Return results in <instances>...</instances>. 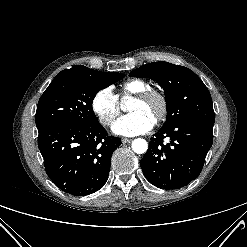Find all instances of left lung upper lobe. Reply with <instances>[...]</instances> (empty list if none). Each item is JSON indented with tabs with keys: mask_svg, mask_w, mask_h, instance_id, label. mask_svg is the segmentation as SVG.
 <instances>
[{
	"mask_svg": "<svg viewBox=\"0 0 247 247\" xmlns=\"http://www.w3.org/2000/svg\"><path fill=\"white\" fill-rule=\"evenodd\" d=\"M130 76L148 77L164 89L167 119L163 127H170L181 121L214 125L211 95L202 80L187 67L168 62H153L133 70Z\"/></svg>",
	"mask_w": 247,
	"mask_h": 247,
	"instance_id": "5c2ea615",
	"label": "left lung upper lobe"
}]
</instances>
